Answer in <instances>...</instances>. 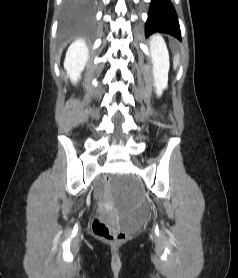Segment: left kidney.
<instances>
[{"instance_id":"left-kidney-1","label":"left kidney","mask_w":238,"mask_h":278,"mask_svg":"<svg viewBox=\"0 0 238 278\" xmlns=\"http://www.w3.org/2000/svg\"><path fill=\"white\" fill-rule=\"evenodd\" d=\"M150 50L153 63V75L157 94L161 95L162 91L168 85L169 71V53L164 40L161 37H155L150 41Z\"/></svg>"}]
</instances>
